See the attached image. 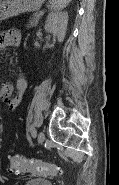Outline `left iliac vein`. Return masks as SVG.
Masks as SVG:
<instances>
[{
	"instance_id": "1",
	"label": "left iliac vein",
	"mask_w": 119,
	"mask_h": 185,
	"mask_svg": "<svg viewBox=\"0 0 119 185\" xmlns=\"http://www.w3.org/2000/svg\"><path fill=\"white\" fill-rule=\"evenodd\" d=\"M37 140H38V143L39 144H42L44 142V140H45V134H44L43 131L39 132Z\"/></svg>"
}]
</instances>
